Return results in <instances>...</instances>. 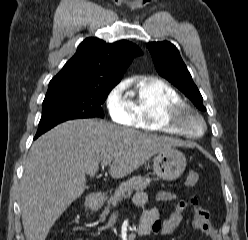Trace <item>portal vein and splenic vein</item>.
Here are the masks:
<instances>
[{"mask_svg":"<svg viewBox=\"0 0 248 240\" xmlns=\"http://www.w3.org/2000/svg\"><path fill=\"white\" fill-rule=\"evenodd\" d=\"M110 164H111V160H106V161H103L101 165H102V167H104V166H107Z\"/></svg>","mask_w":248,"mask_h":240,"instance_id":"18ae733b","label":"portal vein and splenic vein"}]
</instances>
